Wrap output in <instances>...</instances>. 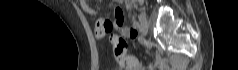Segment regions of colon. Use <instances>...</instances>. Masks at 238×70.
Segmentation results:
<instances>
[{"label":"colon","instance_id":"5ec220e1","mask_svg":"<svg viewBox=\"0 0 238 70\" xmlns=\"http://www.w3.org/2000/svg\"><path fill=\"white\" fill-rule=\"evenodd\" d=\"M121 26V25H119ZM135 37V33H112L110 37L111 44H113L115 57L120 64V66L126 70L137 69V60L135 57L126 55L127 54V43L132 41ZM127 42V43H126Z\"/></svg>","mask_w":238,"mask_h":70}]
</instances>
